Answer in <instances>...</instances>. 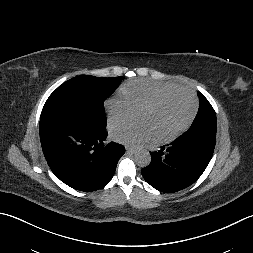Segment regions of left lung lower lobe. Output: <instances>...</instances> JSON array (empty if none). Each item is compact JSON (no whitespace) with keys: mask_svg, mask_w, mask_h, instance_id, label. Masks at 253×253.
<instances>
[{"mask_svg":"<svg viewBox=\"0 0 253 253\" xmlns=\"http://www.w3.org/2000/svg\"><path fill=\"white\" fill-rule=\"evenodd\" d=\"M214 149L198 140L176 139L150 152L151 163L142 169L144 179L155 189L173 193L193 184L209 164Z\"/></svg>","mask_w":253,"mask_h":253,"instance_id":"1","label":"left lung lower lobe"}]
</instances>
